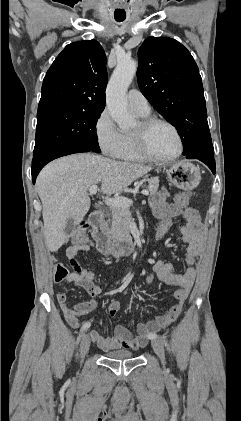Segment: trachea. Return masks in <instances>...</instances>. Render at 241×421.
I'll use <instances>...</instances> for the list:
<instances>
[{
	"label": "trachea",
	"instance_id": "obj_1",
	"mask_svg": "<svg viewBox=\"0 0 241 421\" xmlns=\"http://www.w3.org/2000/svg\"><path fill=\"white\" fill-rule=\"evenodd\" d=\"M116 21H118V22H121V21H123V20H120V19H116Z\"/></svg>",
	"mask_w": 241,
	"mask_h": 421
}]
</instances>
